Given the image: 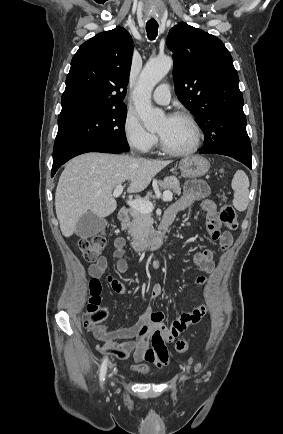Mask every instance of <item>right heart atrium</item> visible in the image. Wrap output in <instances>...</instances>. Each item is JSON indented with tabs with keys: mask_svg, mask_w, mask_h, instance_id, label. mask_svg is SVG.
I'll use <instances>...</instances> for the list:
<instances>
[{
	"mask_svg": "<svg viewBox=\"0 0 283 434\" xmlns=\"http://www.w3.org/2000/svg\"><path fill=\"white\" fill-rule=\"evenodd\" d=\"M123 133L128 145L141 152H149L157 143V137L146 130L139 118L128 112L123 122Z\"/></svg>",
	"mask_w": 283,
	"mask_h": 434,
	"instance_id": "d8ad5b80",
	"label": "right heart atrium"
}]
</instances>
